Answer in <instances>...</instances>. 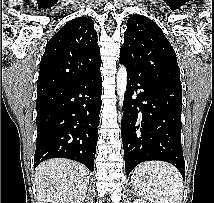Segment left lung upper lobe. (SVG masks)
<instances>
[{
    "instance_id": "1",
    "label": "left lung upper lobe",
    "mask_w": 214,
    "mask_h": 203,
    "mask_svg": "<svg viewBox=\"0 0 214 203\" xmlns=\"http://www.w3.org/2000/svg\"><path fill=\"white\" fill-rule=\"evenodd\" d=\"M120 61L130 71L180 88L176 54L160 27L143 15L127 20Z\"/></svg>"
}]
</instances>
